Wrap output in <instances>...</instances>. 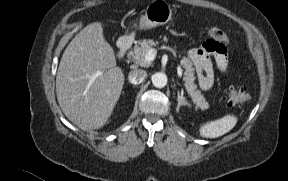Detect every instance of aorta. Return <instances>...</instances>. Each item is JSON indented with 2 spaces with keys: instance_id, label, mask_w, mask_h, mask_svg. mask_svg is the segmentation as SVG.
<instances>
[{
  "instance_id": "1",
  "label": "aorta",
  "mask_w": 288,
  "mask_h": 181,
  "mask_svg": "<svg viewBox=\"0 0 288 181\" xmlns=\"http://www.w3.org/2000/svg\"><path fill=\"white\" fill-rule=\"evenodd\" d=\"M152 83L156 88H163L167 85V76L165 73L157 72L152 75Z\"/></svg>"
}]
</instances>
